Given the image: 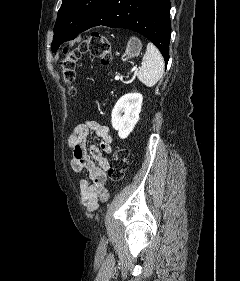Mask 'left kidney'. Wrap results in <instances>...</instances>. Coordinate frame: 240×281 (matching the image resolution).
I'll list each match as a JSON object with an SVG mask.
<instances>
[{
	"label": "left kidney",
	"instance_id": "1",
	"mask_svg": "<svg viewBox=\"0 0 240 281\" xmlns=\"http://www.w3.org/2000/svg\"><path fill=\"white\" fill-rule=\"evenodd\" d=\"M142 100L140 93H128L115 104L111 113V122L121 139L127 138L138 122Z\"/></svg>",
	"mask_w": 240,
	"mask_h": 281
}]
</instances>
